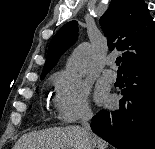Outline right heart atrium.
I'll list each match as a JSON object with an SVG mask.
<instances>
[{"label":"right heart atrium","instance_id":"right-heart-atrium-1","mask_svg":"<svg viewBox=\"0 0 155 149\" xmlns=\"http://www.w3.org/2000/svg\"><path fill=\"white\" fill-rule=\"evenodd\" d=\"M53 83L54 107L60 122L63 124L83 122L92 117L88 100L89 88L86 84L63 71L54 75Z\"/></svg>","mask_w":155,"mask_h":149}]
</instances>
